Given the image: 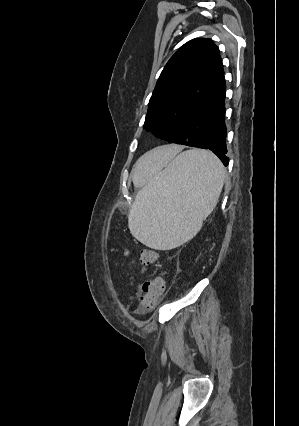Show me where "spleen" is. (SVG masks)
Masks as SVG:
<instances>
[{
	"instance_id": "obj_1",
	"label": "spleen",
	"mask_w": 299,
	"mask_h": 426,
	"mask_svg": "<svg viewBox=\"0 0 299 426\" xmlns=\"http://www.w3.org/2000/svg\"><path fill=\"white\" fill-rule=\"evenodd\" d=\"M224 180L223 164L210 151L178 154L149 174L138 191L128 215L131 234L155 250L184 244L213 211Z\"/></svg>"
}]
</instances>
